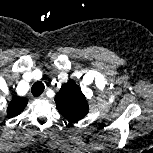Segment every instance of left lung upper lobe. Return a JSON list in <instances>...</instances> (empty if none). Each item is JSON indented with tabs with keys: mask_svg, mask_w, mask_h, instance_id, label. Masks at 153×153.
<instances>
[{
	"mask_svg": "<svg viewBox=\"0 0 153 153\" xmlns=\"http://www.w3.org/2000/svg\"><path fill=\"white\" fill-rule=\"evenodd\" d=\"M54 100L58 111L68 120L76 122L83 119L89 111L86 97L74 81L65 83Z\"/></svg>",
	"mask_w": 153,
	"mask_h": 153,
	"instance_id": "1",
	"label": "left lung upper lobe"
}]
</instances>
